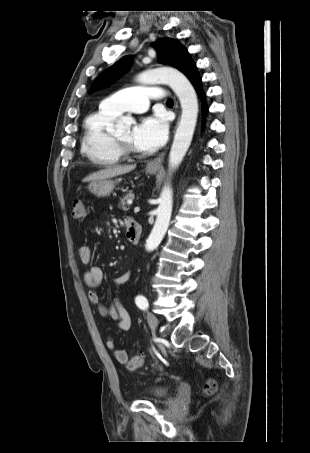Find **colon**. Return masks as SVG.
Here are the masks:
<instances>
[{
  "label": "colon",
  "instance_id": "obj_1",
  "mask_svg": "<svg viewBox=\"0 0 310 453\" xmlns=\"http://www.w3.org/2000/svg\"><path fill=\"white\" fill-rule=\"evenodd\" d=\"M86 214L85 204L81 200H76L73 202L72 205V215L74 218L81 219ZM144 364V357L142 354L134 355L128 362H127V369L130 371H134ZM217 389V383L213 379H208L204 386H203V393L205 395L213 394Z\"/></svg>",
  "mask_w": 310,
  "mask_h": 453
}]
</instances>
